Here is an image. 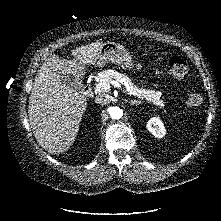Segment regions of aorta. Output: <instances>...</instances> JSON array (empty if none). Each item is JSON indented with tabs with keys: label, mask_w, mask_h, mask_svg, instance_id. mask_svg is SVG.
<instances>
[{
	"label": "aorta",
	"mask_w": 221,
	"mask_h": 221,
	"mask_svg": "<svg viewBox=\"0 0 221 221\" xmlns=\"http://www.w3.org/2000/svg\"><path fill=\"white\" fill-rule=\"evenodd\" d=\"M109 114L113 120H118L122 117L123 111L119 107L114 106L109 108Z\"/></svg>",
	"instance_id": "762f6f07"
}]
</instances>
